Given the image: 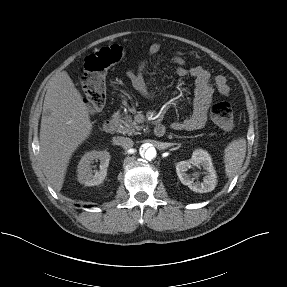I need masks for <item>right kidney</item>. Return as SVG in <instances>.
Returning a JSON list of instances; mask_svg holds the SVG:
<instances>
[{"label":"right kidney","mask_w":287,"mask_h":287,"mask_svg":"<svg viewBox=\"0 0 287 287\" xmlns=\"http://www.w3.org/2000/svg\"><path fill=\"white\" fill-rule=\"evenodd\" d=\"M100 161L99 171L95 173L92 170V163ZM110 161V154L107 151H89L86 152L77 167L78 181L86 186H94L103 182L107 175V168Z\"/></svg>","instance_id":"right-kidney-1"}]
</instances>
